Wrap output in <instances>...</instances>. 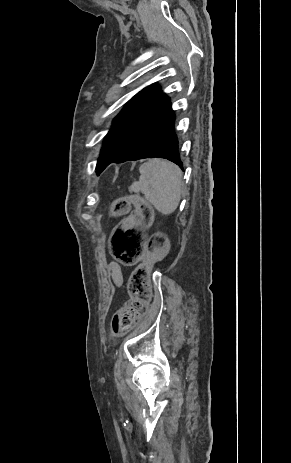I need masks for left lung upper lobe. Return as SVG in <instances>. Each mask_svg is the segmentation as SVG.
Segmentation results:
<instances>
[{"mask_svg":"<svg viewBox=\"0 0 291 463\" xmlns=\"http://www.w3.org/2000/svg\"><path fill=\"white\" fill-rule=\"evenodd\" d=\"M171 112L170 99L160 92L158 85L141 90L113 120L97 164L130 152Z\"/></svg>","mask_w":291,"mask_h":463,"instance_id":"left-lung-upper-lobe-1","label":"left lung upper lobe"}]
</instances>
